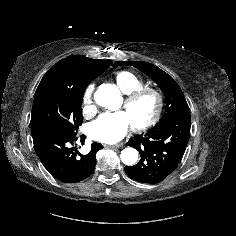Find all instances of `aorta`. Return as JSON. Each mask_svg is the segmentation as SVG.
<instances>
[{
  "label": "aorta",
  "mask_w": 236,
  "mask_h": 236,
  "mask_svg": "<svg viewBox=\"0 0 236 236\" xmlns=\"http://www.w3.org/2000/svg\"><path fill=\"white\" fill-rule=\"evenodd\" d=\"M94 99L98 105L114 110L121 101V94L116 86L104 85L95 92ZM120 157L125 165H133L138 160V152L128 147L121 151Z\"/></svg>",
  "instance_id": "1"
}]
</instances>
